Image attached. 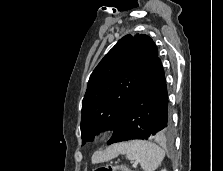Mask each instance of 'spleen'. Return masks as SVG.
I'll list each match as a JSON object with an SVG mask.
<instances>
[{
    "mask_svg": "<svg viewBox=\"0 0 223 171\" xmlns=\"http://www.w3.org/2000/svg\"><path fill=\"white\" fill-rule=\"evenodd\" d=\"M122 153L127 159L140 163L144 171H155L164 159L165 152L158 145L144 140H133L125 143Z\"/></svg>",
    "mask_w": 223,
    "mask_h": 171,
    "instance_id": "1",
    "label": "spleen"
}]
</instances>
